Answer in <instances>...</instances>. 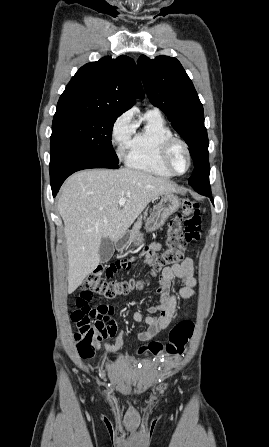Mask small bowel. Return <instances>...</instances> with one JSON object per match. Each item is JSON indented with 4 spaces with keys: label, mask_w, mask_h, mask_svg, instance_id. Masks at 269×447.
I'll return each mask as SVG.
<instances>
[{
    "label": "small bowel",
    "mask_w": 269,
    "mask_h": 447,
    "mask_svg": "<svg viewBox=\"0 0 269 447\" xmlns=\"http://www.w3.org/2000/svg\"><path fill=\"white\" fill-rule=\"evenodd\" d=\"M152 249L153 251H159L161 245L159 243H153ZM175 280H179L183 284L178 291H174L173 289ZM196 283L194 263L190 257H186L180 264L164 268L157 288L159 299L148 308L149 313L154 316H146L141 312H135L133 314L135 321L143 322L147 325V329L138 334V339L145 342L165 330L176 313L178 300L189 299L195 296L194 287ZM182 315L186 317L189 315V312L185 311ZM120 348V341L114 345L105 344V350L108 356L115 355Z\"/></svg>",
    "instance_id": "1"
}]
</instances>
